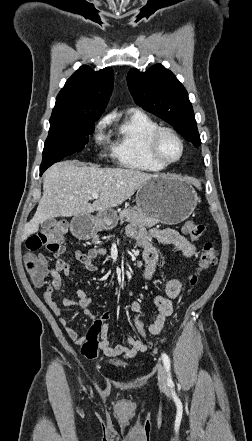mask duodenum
<instances>
[{
	"instance_id": "obj_1",
	"label": "duodenum",
	"mask_w": 252,
	"mask_h": 441,
	"mask_svg": "<svg viewBox=\"0 0 252 441\" xmlns=\"http://www.w3.org/2000/svg\"><path fill=\"white\" fill-rule=\"evenodd\" d=\"M74 235L82 240H86L92 236V222L87 218L76 219L72 224Z\"/></svg>"
}]
</instances>
